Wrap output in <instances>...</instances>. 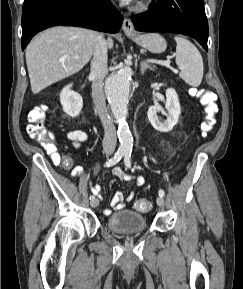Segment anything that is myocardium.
I'll list each match as a JSON object with an SVG mask.
<instances>
[{
    "label": "myocardium",
    "mask_w": 243,
    "mask_h": 289,
    "mask_svg": "<svg viewBox=\"0 0 243 289\" xmlns=\"http://www.w3.org/2000/svg\"><path fill=\"white\" fill-rule=\"evenodd\" d=\"M152 0H141L138 4L139 9H146L150 4Z\"/></svg>",
    "instance_id": "1"
}]
</instances>
